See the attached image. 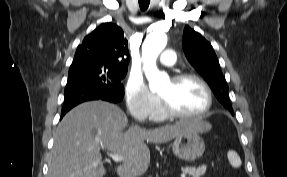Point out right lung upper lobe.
Instances as JSON below:
<instances>
[{"mask_svg": "<svg viewBox=\"0 0 287 177\" xmlns=\"http://www.w3.org/2000/svg\"><path fill=\"white\" fill-rule=\"evenodd\" d=\"M129 60L128 41L124 38L123 30L108 22L84 38L77 47L72 64L101 63L127 70Z\"/></svg>", "mask_w": 287, "mask_h": 177, "instance_id": "right-lung-upper-lobe-1", "label": "right lung upper lobe"}]
</instances>
